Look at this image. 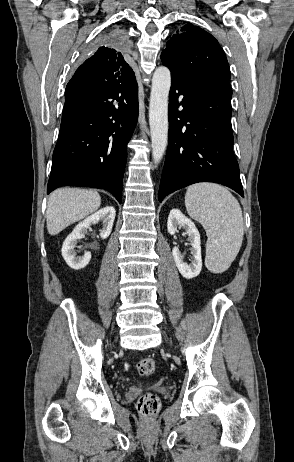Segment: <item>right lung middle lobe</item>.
<instances>
[{
  "label": "right lung middle lobe",
  "mask_w": 294,
  "mask_h": 462,
  "mask_svg": "<svg viewBox=\"0 0 294 462\" xmlns=\"http://www.w3.org/2000/svg\"><path fill=\"white\" fill-rule=\"evenodd\" d=\"M124 42V36L118 29H111L102 33L94 42L93 47L120 46Z\"/></svg>",
  "instance_id": "right-lung-middle-lobe-1"
}]
</instances>
